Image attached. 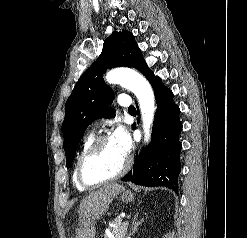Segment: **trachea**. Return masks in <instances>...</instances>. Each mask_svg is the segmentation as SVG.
Returning a JSON list of instances; mask_svg holds the SVG:
<instances>
[{
  "label": "trachea",
  "mask_w": 247,
  "mask_h": 238,
  "mask_svg": "<svg viewBox=\"0 0 247 238\" xmlns=\"http://www.w3.org/2000/svg\"><path fill=\"white\" fill-rule=\"evenodd\" d=\"M129 110H135V108L133 106H130Z\"/></svg>",
  "instance_id": "1"
}]
</instances>
